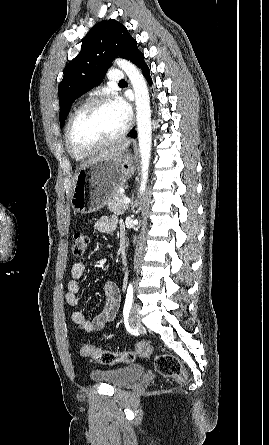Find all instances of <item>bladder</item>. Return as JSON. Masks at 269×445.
I'll return each mask as SVG.
<instances>
[{
	"label": "bladder",
	"instance_id": "bladder-1",
	"mask_svg": "<svg viewBox=\"0 0 269 445\" xmlns=\"http://www.w3.org/2000/svg\"><path fill=\"white\" fill-rule=\"evenodd\" d=\"M144 372L141 364H131L116 369L95 370L91 372V378L113 387H125L139 379Z\"/></svg>",
	"mask_w": 269,
	"mask_h": 445
}]
</instances>
